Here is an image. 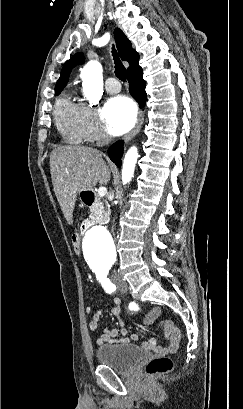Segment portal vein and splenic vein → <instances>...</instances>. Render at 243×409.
<instances>
[{
    "instance_id": "1",
    "label": "portal vein and splenic vein",
    "mask_w": 243,
    "mask_h": 409,
    "mask_svg": "<svg viewBox=\"0 0 243 409\" xmlns=\"http://www.w3.org/2000/svg\"><path fill=\"white\" fill-rule=\"evenodd\" d=\"M97 193H98V196L103 197V196H105L106 193H107V188L104 187V186H102V187H100V188L98 189Z\"/></svg>"
}]
</instances>
